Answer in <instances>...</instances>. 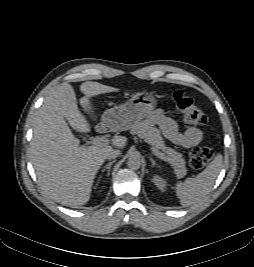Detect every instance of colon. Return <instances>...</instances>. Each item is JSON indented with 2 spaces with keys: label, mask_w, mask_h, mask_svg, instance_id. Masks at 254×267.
<instances>
[{
  "label": "colon",
  "mask_w": 254,
  "mask_h": 267,
  "mask_svg": "<svg viewBox=\"0 0 254 267\" xmlns=\"http://www.w3.org/2000/svg\"><path fill=\"white\" fill-rule=\"evenodd\" d=\"M175 108L188 127L205 125L208 121L206 114L196 106L194 101L183 91L173 95ZM213 158V151L208 147L198 146L189 152V163L193 169L204 168Z\"/></svg>",
  "instance_id": "5ec220e1"
}]
</instances>
